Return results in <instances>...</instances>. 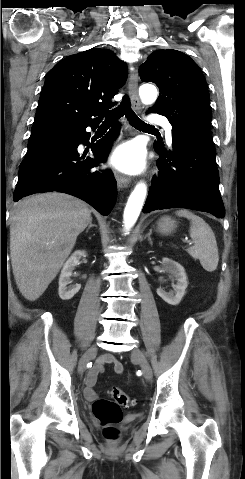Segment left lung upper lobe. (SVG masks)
<instances>
[{
	"mask_svg": "<svg viewBox=\"0 0 245 479\" xmlns=\"http://www.w3.org/2000/svg\"><path fill=\"white\" fill-rule=\"evenodd\" d=\"M143 82H154L160 90L152 111L168 118L174 129L203 128L209 131L212 113L205 77L186 54L173 50L154 51L140 66Z\"/></svg>",
	"mask_w": 245,
	"mask_h": 479,
	"instance_id": "obj_1",
	"label": "left lung upper lobe"
}]
</instances>
